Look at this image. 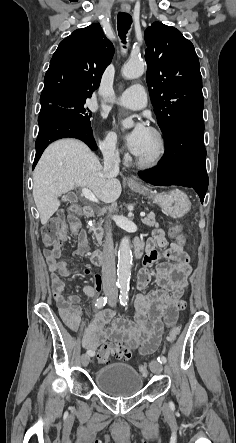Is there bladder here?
Returning a JSON list of instances; mask_svg holds the SVG:
<instances>
[{
    "label": "bladder",
    "instance_id": "1",
    "mask_svg": "<svg viewBox=\"0 0 236 443\" xmlns=\"http://www.w3.org/2000/svg\"><path fill=\"white\" fill-rule=\"evenodd\" d=\"M95 384L111 397L124 398L140 391L143 376L131 365L109 363L96 371Z\"/></svg>",
    "mask_w": 236,
    "mask_h": 443
}]
</instances>
